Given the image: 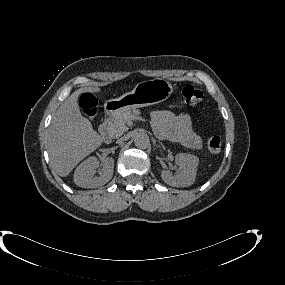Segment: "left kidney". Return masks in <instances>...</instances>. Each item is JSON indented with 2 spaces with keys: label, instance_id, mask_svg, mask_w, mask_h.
<instances>
[{
  "label": "left kidney",
  "instance_id": "1",
  "mask_svg": "<svg viewBox=\"0 0 285 285\" xmlns=\"http://www.w3.org/2000/svg\"><path fill=\"white\" fill-rule=\"evenodd\" d=\"M175 161L178 164V172L173 174L169 170H162L161 177L165 183L173 187H187L194 183L199 158L192 154L178 153L175 156Z\"/></svg>",
  "mask_w": 285,
  "mask_h": 285
}]
</instances>
